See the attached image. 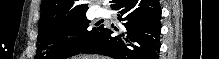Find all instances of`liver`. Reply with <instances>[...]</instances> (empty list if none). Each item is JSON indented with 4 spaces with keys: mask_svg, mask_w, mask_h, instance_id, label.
Listing matches in <instances>:
<instances>
[{
    "mask_svg": "<svg viewBox=\"0 0 219 59\" xmlns=\"http://www.w3.org/2000/svg\"><path fill=\"white\" fill-rule=\"evenodd\" d=\"M73 59H107L106 57L103 56H91V55H84V56H79V57H74Z\"/></svg>",
    "mask_w": 219,
    "mask_h": 59,
    "instance_id": "obj_1",
    "label": "liver"
}]
</instances>
